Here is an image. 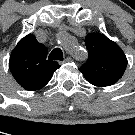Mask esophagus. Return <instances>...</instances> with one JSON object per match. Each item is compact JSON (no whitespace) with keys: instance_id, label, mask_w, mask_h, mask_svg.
Segmentation results:
<instances>
[{"instance_id":"esophagus-1","label":"esophagus","mask_w":135,"mask_h":135,"mask_svg":"<svg viewBox=\"0 0 135 135\" xmlns=\"http://www.w3.org/2000/svg\"><path fill=\"white\" fill-rule=\"evenodd\" d=\"M71 61H72V58L71 57H67V58L64 59V61H60L59 63L63 64V63L71 62Z\"/></svg>"}]
</instances>
